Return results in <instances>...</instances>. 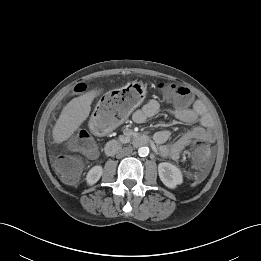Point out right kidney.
<instances>
[{"label":"right kidney","instance_id":"right-kidney-1","mask_svg":"<svg viewBox=\"0 0 261 261\" xmlns=\"http://www.w3.org/2000/svg\"><path fill=\"white\" fill-rule=\"evenodd\" d=\"M103 168L102 166L96 165L92 167L86 176V181L88 185H94L102 176Z\"/></svg>","mask_w":261,"mask_h":261}]
</instances>
